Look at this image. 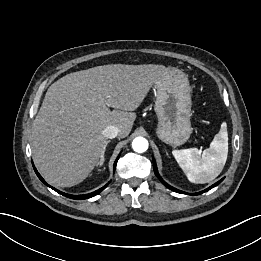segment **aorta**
<instances>
[{
    "label": "aorta",
    "instance_id": "1",
    "mask_svg": "<svg viewBox=\"0 0 261 261\" xmlns=\"http://www.w3.org/2000/svg\"><path fill=\"white\" fill-rule=\"evenodd\" d=\"M148 141L144 137H136L132 142V147L135 152L143 153L148 149Z\"/></svg>",
    "mask_w": 261,
    "mask_h": 261
}]
</instances>
